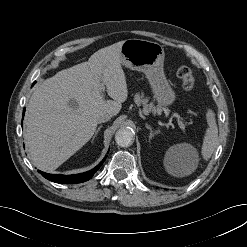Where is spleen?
Instances as JSON below:
<instances>
[{
	"label": "spleen",
	"instance_id": "spleen-1",
	"mask_svg": "<svg viewBox=\"0 0 247 247\" xmlns=\"http://www.w3.org/2000/svg\"><path fill=\"white\" fill-rule=\"evenodd\" d=\"M207 122H208V128L206 130L204 139H203V146H202V156L205 160H208L215 148L217 147L218 143V128L216 125V120H215V114L212 110L207 111ZM166 167L170 172H174L173 167L171 162L166 163Z\"/></svg>",
	"mask_w": 247,
	"mask_h": 247
}]
</instances>
